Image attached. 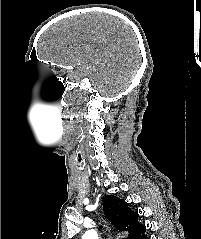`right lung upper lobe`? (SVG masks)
Here are the masks:
<instances>
[{"mask_svg": "<svg viewBox=\"0 0 201 239\" xmlns=\"http://www.w3.org/2000/svg\"><path fill=\"white\" fill-rule=\"evenodd\" d=\"M103 209L105 216L119 231L129 233L124 239H140L144 234L146 228L137 221L138 212L131 211L125 200L107 195L103 199Z\"/></svg>", "mask_w": 201, "mask_h": 239, "instance_id": "1", "label": "right lung upper lobe"}]
</instances>
